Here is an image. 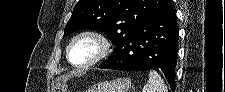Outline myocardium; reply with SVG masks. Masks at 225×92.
<instances>
[{"instance_id":"obj_1","label":"myocardium","mask_w":225,"mask_h":92,"mask_svg":"<svg viewBox=\"0 0 225 92\" xmlns=\"http://www.w3.org/2000/svg\"><path fill=\"white\" fill-rule=\"evenodd\" d=\"M88 38L96 42L98 45V52L97 54L90 59L89 61H86L84 63H75L71 58V49L72 46L81 39ZM111 50V43L106 35L103 33L96 31V30H86L78 33L75 35L70 42L67 45L66 48V58L68 63L73 66L74 68L81 69V68H87L92 65L97 64L101 60H103L105 57L108 56Z\"/></svg>"}]
</instances>
